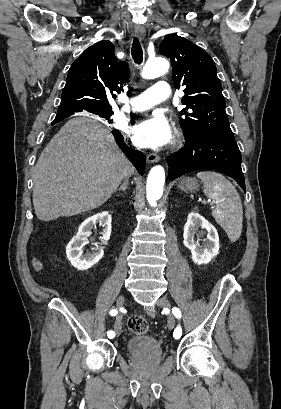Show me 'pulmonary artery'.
<instances>
[{
	"instance_id": "obj_1",
	"label": "pulmonary artery",
	"mask_w": 281,
	"mask_h": 409,
	"mask_svg": "<svg viewBox=\"0 0 281 409\" xmlns=\"http://www.w3.org/2000/svg\"><path fill=\"white\" fill-rule=\"evenodd\" d=\"M153 87L155 90H143L142 94H135L133 102L127 103L125 108L129 111L147 110L172 97L168 81H155Z\"/></svg>"
}]
</instances>
